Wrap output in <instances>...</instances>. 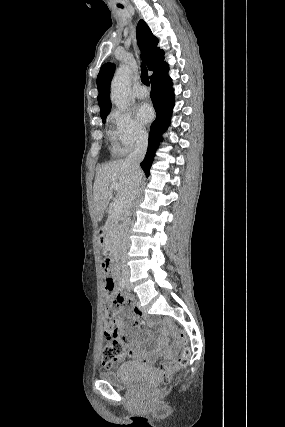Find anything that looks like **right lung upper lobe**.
Segmentation results:
<instances>
[{
  "label": "right lung upper lobe",
  "mask_w": 285,
  "mask_h": 427,
  "mask_svg": "<svg viewBox=\"0 0 285 427\" xmlns=\"http://www.w3.org/2000/svg\"><path fill=\"white\" fill-rule=\"evenodd\" d=\"M138 44L142 52V58L148 69L153 71L150 76L151 81L160 79L167 75L168 64L164 62V51L157 48L158 40L152 34L147 24L140 20L136 29ZM115 66L107 63L100 68L97 76V88L99 91L98 104L100 106L101 118H106L111 110L110 102V82L114 74Z\"/></svg>",
  "instance_id": "cb5924a9"
}]
</instances>
